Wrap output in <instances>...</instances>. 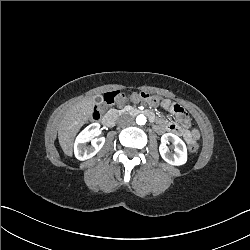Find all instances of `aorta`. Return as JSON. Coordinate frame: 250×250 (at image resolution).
Masks as SVG:
<instances>
[{
    "mask_svg": "<svg viewBox=\"0 0 250 250\" xmlns=\"http://www.w3.org/2000/svg\"><path fill=\"white\" fill-rule=\"evenodd\" d=\"M146 117L143 114H140L136 117V123L138 125H144L146 123Z\"/></svg>",
    "mask_w": 250,
    "mask_h": 250,
    "instance_id": "aorta-1",
    "label": "aorta"
}]
</instances>
